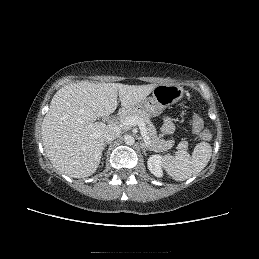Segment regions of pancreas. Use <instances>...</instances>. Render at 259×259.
Returning a JSON list of instances; mask_svg holds the SVG:
<instances>
[{"label":"pancreas","mask_w":259,"mask_h":259,"mask_svg":"<svg viewBox=\"0 0 259 259\" xmlns=\"http://www.w3.org/2000/svg\"><path fill=\"white\" fill-rule=\"evenodd\" d=\"M132 116H137L144 121L146 125L147 135L149 138V146L152 150L156 152H163L173 147L175 142L174 139H169V140L159 139V137L157 136L156 129L152 124L150 120V115L148 113L137 108L126 109V110H123L121 113V118H127ZM177 148L181 150H187L188 149L187 141H181L178 144Z\"/></svg>","instance_id":"pancreas-1"}]
</instances>
